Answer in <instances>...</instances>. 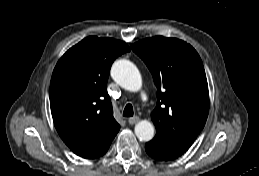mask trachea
Returning <instances> with one entry per match:
<instances>
[{"instance_id": "trachea-1", "label": "trachea", "mask_w": 259, "mask_h": 176, "mask_svg": "<svg viewBox=\"0 0 259 176\" xmlns=\"http://www.w3.org/2000/svg\"><path fill=\"white\" fill-rule=\"evenodd\" d=\"M134 114V111H133V107L131 104H127L124 108V111H123V116L124 117H132Z\"/></svg>"}]
</instances>
